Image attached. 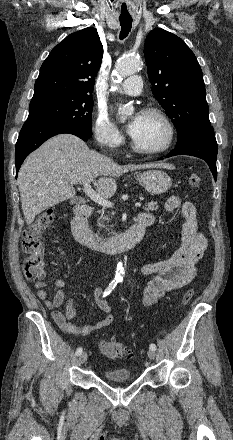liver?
Returning a JSON list of instances; mask_svg holds the SVG:
<instances>
[{
	"label": "liver",
	"mask_w": 233,
	"mask_h": 440,
	"mask_svg": "<svg viewBox=\"0 0 233 440\" xmlns=\"http://www.w3.org/2000/svg\"><path fill=\"white\" fill-rule=\"evenodd\" d=\"M167 167L164 163L121 166L90 150L72 134H59L31 153L18 173V187L25 221L30 225L36 215L75 196L76 183L90 181L103 197L117 190L115 177L137 169ZM101 175L102 177L96 180Z\"/></svg>",
	"instance_id": "liver-1"
}]
</instances>
